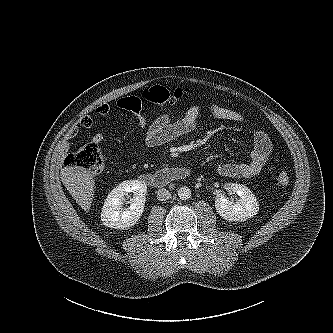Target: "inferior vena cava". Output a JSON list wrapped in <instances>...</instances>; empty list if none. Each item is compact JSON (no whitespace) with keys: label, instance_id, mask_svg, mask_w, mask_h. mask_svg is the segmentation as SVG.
I'll return each instance as SVG.
<instances>
[{"label":"inferior vena cava","instance_id":"inferior-vena-cava-1","mask_svg":"<svg viewBox=\"0 0 333 333\" xmlns=\"http://www.w3.org/2000/svg\"><path fill=\"white\" fill-rule=\"evenodd\" d=\"M171 198V194L170 192L165 189V188H162V189H159L158 192H157V199L159 201H166L168 199Z\"/></svg>","mask_w":333,"mask_h":333}]
</instances>
